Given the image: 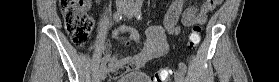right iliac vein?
<instances>
[{"label":"right iliac vein","mask_w":279,"mask_h":82,"mask_svg":"<svg viewBox=\"0 0 279 82\" xmlns=\"http://www.w3.org/2000/svg\"><path fill=\"white\" fill-rule=\"evenodd\" d=\"M117 11H121L125 8V3L124 2H119L116 5ZM107 75V67L105 65L101 66L99 70V76L102 80L106 78Z\"/></svg>","instance_id":"right-iliac-vein-1"}]
</instances>
